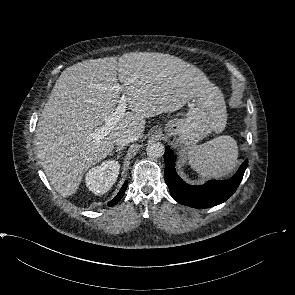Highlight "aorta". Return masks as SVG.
<instances>
[{"instance_id":"1","label":"aorta","mask_w":295,"mask_h":295,"mask_svg":"<svg viewBox=\"0 0 295 295\" xmlns=\"http://www.w3.org/2000/svg\"><path fill=\"white\" fill-rule=\"evenodd\" d=\"M164 145L158 141H150L147 145V155L151 158H159L164 154Z\"/></svg>"}]
</instances>
